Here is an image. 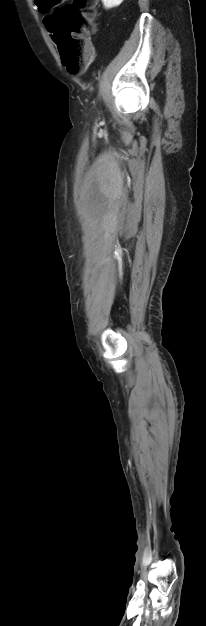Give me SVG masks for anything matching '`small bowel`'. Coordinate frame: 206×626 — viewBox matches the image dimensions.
Segmentation results:
<instances>
[{
  "label": "small bowel",
  "mask_w": 206,
  "mask_h": 626,
  "mask_svg": "<svg viewBox=\"0 0 206 626\" xmlns=\"http://www.w3.org/2000/svg\"><path fill=\"white\" fill-rule=\"evenodd\" d=\"M41 1H42V0H38V1H37V4H38V6H39L40 8H41ZM47 18H48V16H47V17H45V19H44V23H45V26H46V28H47V30H48Z\"/></svg>",
  "instance_id": "small-bowel-1"
}]
</instances>
